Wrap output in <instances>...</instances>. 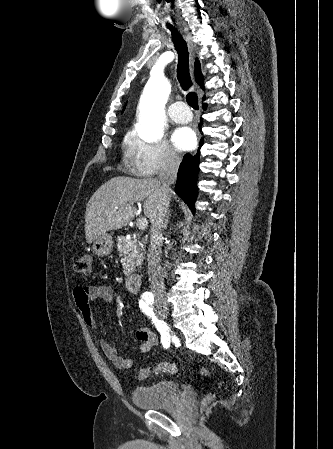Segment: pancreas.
<instances>
[{"mask_svg": "<svg viewBox=\"0 0 333 449\" xmlns=\"http://www.w3.org/2000/svg\"><path fill=\"white\" fill-rule=\"evenodd\" d=\"M117 249L123 254V273L130 275L135 268L143 261V254L137 240L126 239L124 236L118 237Z\"/></svg>", "mask_w": 333, "mask_h": 449, "instance_id": "cf45deb5", "label": "pancreas"}]
</instances>
